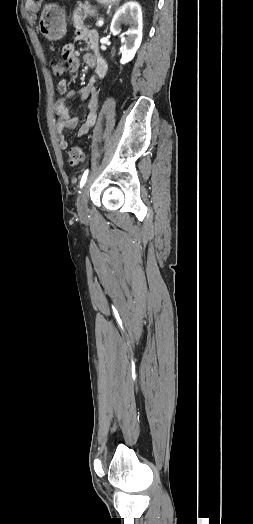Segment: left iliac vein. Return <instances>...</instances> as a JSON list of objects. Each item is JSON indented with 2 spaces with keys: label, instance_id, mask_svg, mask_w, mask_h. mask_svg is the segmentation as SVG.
I'll use <instances>...</instances> for the list:
<instances>
[{
  "label": "left iliac vein",
  "instance_id": "1",
  "mask_svg": "<svg viewBox=\"0 0 253 524\" xmlns=\"http://www.w3.org/2000/svg\"><path fill=\"white\" fill-rule=\"evenodd\" d=\"M87 191L88 186L86 184L77 197V210L79 215L81 216L86 215L88 213Z\"/></svg>",
  "mask_w": 253,
  "mask_h": 524
}]
</instances>
